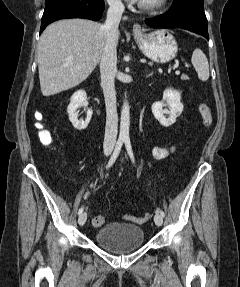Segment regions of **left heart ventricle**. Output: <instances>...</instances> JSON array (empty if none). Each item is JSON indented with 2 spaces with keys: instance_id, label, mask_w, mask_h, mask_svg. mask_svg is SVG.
<instances>
[{
  "instance_id": "1",
  "label": "left heart ventricle",
  "mask_w": 240,
  "mask_h": 287,
  "mask_svg": "<svg viewBox=\"0 0 240 287\" xmlns=\"http://www.w3.org/2000/svg\"><path fill=\"white\" fill-rule=\"evenodd\" d=\"M143 1L150 2V1H153V0H143Z\"/></svg>"
}]
</instances>
